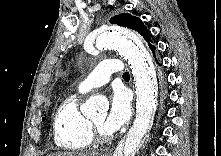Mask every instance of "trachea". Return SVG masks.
Listing matches in <instances>:
<instances>
[{"label": "trachea", "instance_id": "3493384b", "mask_svg": "<svg viewBox=\"0 0 221 156\" xmlns=\"http://www.w3.org/2000/svg\"><path fill=\"white\" fill-rule=\"evenodd\" d=\"M129 77H130V75H129L128 72H125V73L123 74V78H129Z\"/></svg>", "mask_w": 221, "mask_h": 156}]
</instances>
